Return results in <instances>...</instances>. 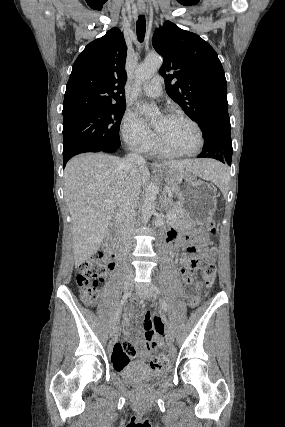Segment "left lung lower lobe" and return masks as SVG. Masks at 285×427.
Returning <instances> with one entry per match:
<instances>
[{
    "label": "left lung lower lobe",
    "instance_id": "left-lung-lower-lobe-1",
    "mask_svg": "<svg viewBox=\"0 0 285 427\" xmlns=\"http://www.w3.org/2000/svg\"><path fill=\"white\" fill-rule=\"evenodd\" d=\"M204 147L199 158H214L222 163L231 165L232 142L230 123L210 122L201 127Z\"/></svg>",
    "mask_w": 285,
    "mask_h": 427
}]
</instances>
